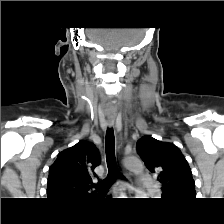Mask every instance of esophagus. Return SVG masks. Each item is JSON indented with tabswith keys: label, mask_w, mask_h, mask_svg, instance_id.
Here are the masks:
<instances>
[{
	"label": "esophagus",
	"mask_w": 224,
	"mask_h": 224,
	"mask_svg": "<svg viewBox=\"0 0 224 224\" xmlns=\"http://www.w3.org/2000/svg\"><path fill=\"white\" fill-rule=\"evenodd\" d=\"M115 122L114 118H108V124L109 126H113ZM124 176H125V180L124 181H118L117 185L123 184L124 187L128 190L129 193H133L134 191V186L133 183L131 181V177L130 174L127 172H124Z\"/></svg>",
	"instance_id": "34e87169"
}]
</instances>
